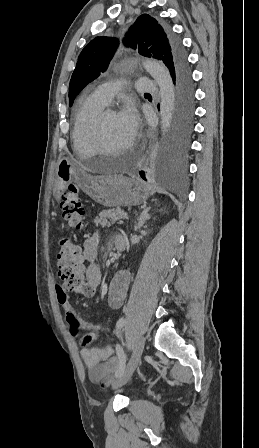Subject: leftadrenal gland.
<instances>
[{"label": "left adrenal gland", "mask_w": 259, "mask_h": 448, "mask_svg": "<svg viewBox=\"0 0 259 448\" xmlns=\"http://www.w3.org/2000/svg\"><path fill=\"white\" fill-rule=\"evenodd\" d=\"M150 208H146V210H143L139 216V220L137 224H135V230H140L142 228L143 224H145L146 220H150V216L148 214Z\"/></svg>", "instance_id": "1"}]
</instances>
